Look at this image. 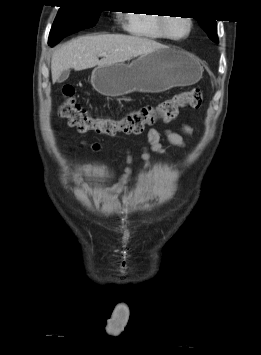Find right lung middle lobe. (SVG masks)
Here are the masks:
<instances>
[{
  "label": "right lung middle lobe",
  "instance_id": "1",
  "mask_svg": "<svg viewBox=\"0 0 261 355\" xmlns=\"http://www.w3.org/2000/svg\"><path fill=\"white\" fill-rule=\"evenodd\" d=\"M100 9L91 7L84 0L67 2L60 7L49 35V42L60 41L63 37L93 27L98 21Z\"/></svg>",
  "mask_w": 261,
  "mask_h": 355
}]
</instances>
